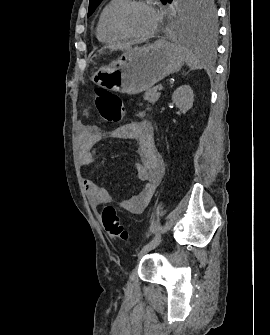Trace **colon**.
Listing matches in <instances>:
<instances>
[{"label":"colon","mask_w":270,"mask_h":335,"mask_svg":"<svg viewBox=\"0 0 270 335\" xmlns=\"http://www.w3.org/2000/svg\"><path fill=\"white\" fill-rule=\"evenodd\" d=\"M91 95L101 118L107 123L119 122L125 112V108L119 96L108 89L94 87ZM102 221L105 230L115 239L122 242H129V234L115 208L106 205L102 212Z\"/></svg>","instance_id":"obj_1"}]
</instances>
